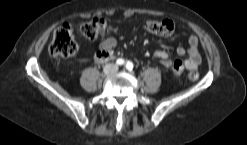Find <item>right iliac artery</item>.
Masks as SVG:
<instances>
[{"instance_id":"1","label":"right iliac artery","mask_w":247,"mask_h":145,"mask_svg":"<svg viewBox=\"0 0 247 145\" xmlns=\"http://www.w3.org/2000/svg\"><path fill=\"white\" fill-rule=\"evenodd\" d=\"M116 64L117 65H119V66H121V65H124L125 64V61L123 60V59H118L117 61H116Z\"/></svg>"}]
</instances>
